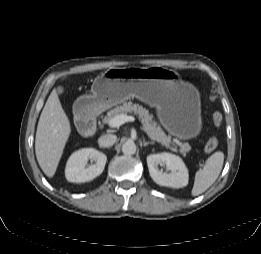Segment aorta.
Masks as SVG:
<instances>
[{
  "label": "aorta",
  "instance_id": "aorta-1",
  "mask_svg": "<svg viewBox=\"0 0 261 254\" xmlns=\"http://www.w3.org/2000/svg\"><path fill=\"white\" fill-rule=\"evenodd\" d=\"M122 152L125 155H133L136 153V144L133 141H127L122 145Z\"/></svg>",
  "mask_w": 261,
  "mask_h": 254
}]
</instances>
